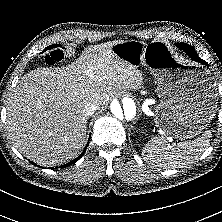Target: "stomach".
Listing matches in <instances>:
<instances>
[{
  "instance_id": "stomach-1",
  "label": "stomach",
  "mask_w": 222,
  "mask_h": 222,
  "mask_svg": "<svg viewBox=\"0 0 222 222\" xmlns=\"http://www.w3.org/2000/svg\"><path fill=\"white\" fill-rule=\"evenodd\" d=\"M110 49L121 61L143 65L155 77L160 102L153 122L158 130L185 139L207 127L217 110V88L209 70L181 61L163 41L123 40Z\"/></svg>"
}]
</instances>
